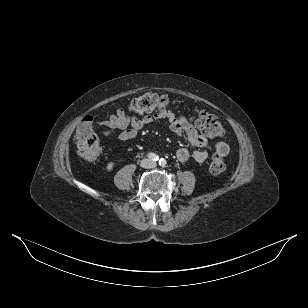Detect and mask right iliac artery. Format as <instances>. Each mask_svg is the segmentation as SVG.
I'll return each instance as SVG.
<instances>
[{
  "mask_svg": "<svg viewBox=\"0 0 308 308\" xmlns=\"http://www.w3.org/2000/svg\"><path fill=\"white\" fill-rule=\"evenodd\" d=\"M148 158L152 161H155V162L159 160V157L154 153H149Z\"/></svg>",
  "mask_w": 308,
  "mask_h": 308,
  "instance_id": "obj_1",
  "label": "right iliac artery"
}]
</instances>
